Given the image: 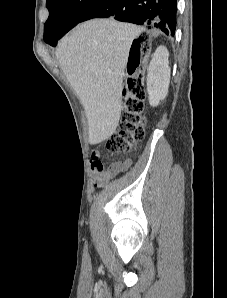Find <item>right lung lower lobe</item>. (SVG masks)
Instances as JSON below:
<instances>
[{
  "mask_svg": "<svg viewBox=\"0 0 227 298\" xmlns=\"http://www.w3.org/2000/svg\"><path fill=\"white\" fill-rule=\"evenodd\" d=\"M177 0H100L81 20L112 17L138 25H152L174 35ZM150 27V26H149ZM68 31L54 32L46 43L55 46Z\"/></svg>",
  "mask_w": 227,
  "mask_h": 298,
  "instance_id": "right-lung-lower-lobe-1",
  "label": "right lung lower lobe"
}]
</instances>
